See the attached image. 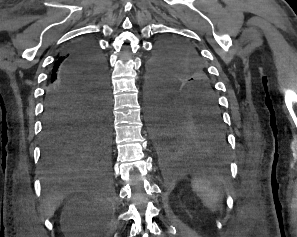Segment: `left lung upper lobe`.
Here are the masks:
<instances>
[{
    "label": "left lung upper lobe",
    "mask_w": 297,
    "mask_h": 237,
    "mask_svg": "<svg viewBox=\"0 0 297 237\" xmlns=\"http://www.w3.org/2000/svg\"><path fill=\"white\" fill-rule=\"evenodd\" d=\"M149 97H168L180 104L211 100L215 88L198 53L187 44L166 40L158 45L148 68Z\"/></svg>",
    "instance_id": "left-lung-upper-lobe-1"
}]
</instances>
